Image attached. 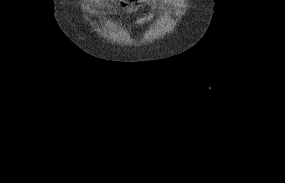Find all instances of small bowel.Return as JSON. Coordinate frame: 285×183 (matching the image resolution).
<instances>
[{
    "label": "small bowel",
    "mask_w": 285,
    "mask_h": 183,
    "mask_svg": "<svg viewBox=\"0 0 285 183\" xmlns=\"http://www.w3.org/2000/svg\"><path fill=\"white\" fill-rule=\"evenodd\" d=\"M143 3H146V4H149V5H152L155 3V0H142ZM122 10L124 11H127V12H134L137 10V7L134 6V5H125L121 8ZM154 18V14L153 13H148L144 16H142L141 18H139L135 24L133 25L134 28H137L141 25H143L144 23L152 20Z\"/></svg>",
    "instance_id": "1"
}]
</instances>
